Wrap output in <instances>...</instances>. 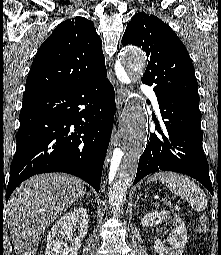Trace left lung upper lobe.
<instances>
[{
	"label": "left lung upper lobe",
	"mask_w": 221,
	"mask_h": 255,
	"mask_svg": "<svg viewBox=\"0 0 221 255\" xmlns=\"http://www.w3.org/2000/svg\"><path fill=\"white\" fill-rule=\"evenodd\" d=\"M122 44L142 48L149 58L142 82L152 86L157 97L199 108L194 67L176 33L154 15L137 13L128 23Z\"/></svg>",
	"instance_id": "5c2ea615"
}]
</instances>
